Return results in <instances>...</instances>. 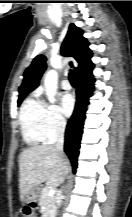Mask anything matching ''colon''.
<instances>
[{
    "instance_id": "colon-1",
    "label": "colon",
    "mask_w": 132,
    "mask_h": 217,
    "mask_svg": "<svg viewBox=\"0 0 132 217\" xmlns=\"http://www.w3.org/2000/svg\"><path fill=\"white\" fill-rule=\"evenodd\" d=\"M21 217H34L33 215V207L27 206L24 208Z\"/></svg>"
}]
</instances>
